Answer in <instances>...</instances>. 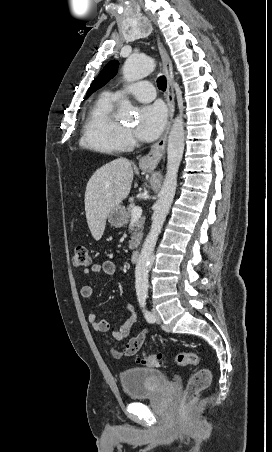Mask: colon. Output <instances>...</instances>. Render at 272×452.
Returning a JSON list of instances; mask_svg holds the SVG:
<instances>
[{"label": "colon", "instance_id": "obj_1", "mask_svg": "<svg viewBox=\"0 0 272 452\" xmlns=\"http://www.w3.org/2000/svg\"><path fill=\"white\" fill-rule=\"evenodd\" d=\"M91 263V258L86 245L80 244L75 248L73 256V266L75 268H85ZM139 351V341L134 339L129 341L121 350V353L126 356L135 355ZM174 361L179 366L200 364L199 356L194 352H179L175 355ZM144 366H161L164 363L161 354H144L137 361ZM211 382V372L208 367L201 366L188 380L187 386L183 394V406L187 407L197 397V395L207 389Z\"/></svg>", "mask_w": 272, "mask_h": 452}]
</instances>
